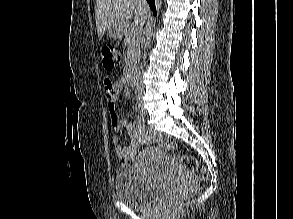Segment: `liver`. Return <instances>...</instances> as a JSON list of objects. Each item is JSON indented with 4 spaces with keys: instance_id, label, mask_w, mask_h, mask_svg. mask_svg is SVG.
Here are the masks:
<instances>
[{
    "instance_id": "obj_1",
    "label": "liver",
    "mask_w": 293,
    "mask_h": 219,
    "mask_svg": "<svg viewBox=\"0 0 293 219\" xmlns=\"http://www.w3.org/2000/svg\"><path fill=\"white\" fill-rule=\"evenodd\" d=\"M149 13L145 0H96L95 16L98 37L101 38L111 25L126 28L133 15L136 29L141 30Z\"/></svg>"
}]
</instances>
